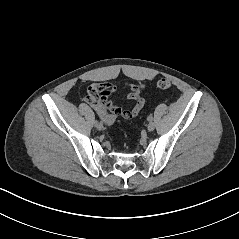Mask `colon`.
Returning <instances> with one entry per match:
<instances>
[{
    "label": "colon",
    "mask_w": 239,
    "mask_h": 239,
    "mask_svg": "<svg viewBox=\"0 0 239 239\" xmlns=\"http://www.w3.org/2000/svg\"><path fill=\"white\" fill-rule=\"evenodd\" d=\"M171 87V82L168 79H160L156 82V88L158 90H167Z\"/></svg>",
    "instance_id": "1"
}]
</instances>
